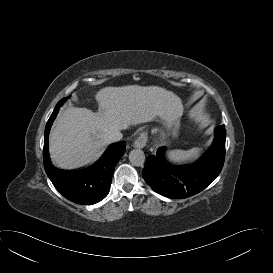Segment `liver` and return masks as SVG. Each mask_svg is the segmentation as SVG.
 Masks as SVG:
<instances>
[{"label": "liver", "instance_id": "liver-1", "mask_svg": "<svg viewBox=\"0 0 273 273\" xmlns=\"http://www.w3.org/2000/svg\"><path fill=\"white\" fill-rule=\"evenodd\" d=\"M98 112L69 107L57 118L50 133L49 151L53 162L72 169L96 160L111 142L113 130L152 121L156 116L176 115L181 100L158 86L105 87L96 94Z\"/></svg>", "mask_w": 273, "mask_h": 273}]
</instances>
